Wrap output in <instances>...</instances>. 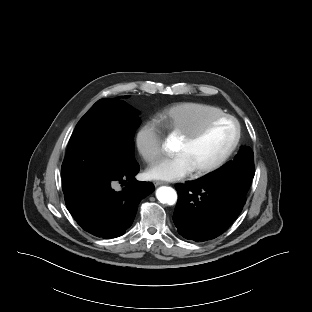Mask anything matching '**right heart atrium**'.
I'll use <instances>...</instances> for the list:
<instances>
[{"instance_id":"d8ad5b80","label":"right heart atrium","mask_w":312,"mask_h":312,"mask_svg":"<svg viewBox=\"0 0 312 312\" xmlns=\"http://www.w3.org/2000/svg\"><path fill=\"white\" fill-rule=\"evenodd\" d=\"M136 144L143 159L152 164L163 155L162 127L156 118L147 119L139 128Z\"/></svg>"}]
</instances>
